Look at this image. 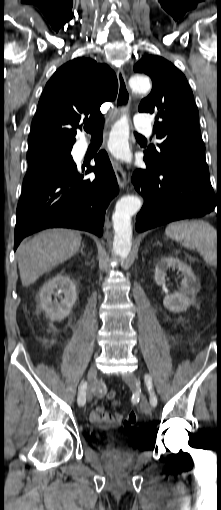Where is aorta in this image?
<instances>
[{
	"mask_svg": "<svg viewBox=\"0 0 221 510\" xmlns=\"http://www.w3.org/2000/svg\"><path fill=\"white\" fill-rule=\"evenodd\" d=\"M133 91L145 93L150 89V81L146 76L134 75L129 80ZM129 122L126 115L117 121L110 133L109 149L117 159L130 163L132 153L129 148ZM142 206L139 197L126 195L119 199L112 216L113 229L115 232L113 252L121 258L128 257L132 247V226L131 217L137 213Z\"/></svg>",
	"mask_w": 221,
	"mask_h": 510,
	"instance_id": "obj_1",
	"label": "aorta"
}]
</instances>
